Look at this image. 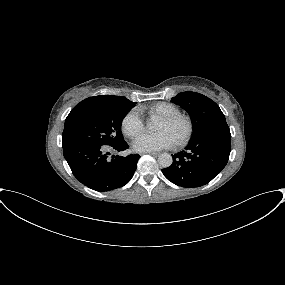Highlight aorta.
<instances>
[{
  "label": "aorta",
  "mask_w": 285,
  "mask_h": 285,
  "mask_svg": "<svg viewBox=\"0 0 285 285\" xmlns=\"http://www.w3.org/2000/svg\"><path fill=\"white\" fill-rule=\"evenodd\" d=\"M173 162V158L170 154L168 153H162L159 157H158V163L160 166H162L163 168H167L170 167L171 164Z\"/></svg>",
  "instance_id": "762f6f07"
}]
</instances>
